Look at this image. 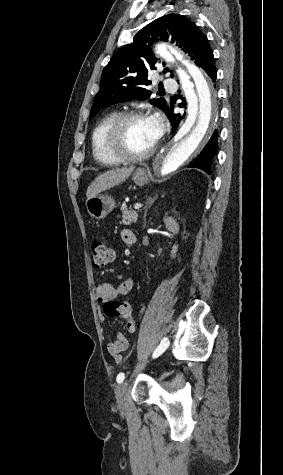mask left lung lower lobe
<instances>
[{"label":"left lung lower lobe","mask_w":283,"mask_h":475,"mask_svg":"<svg viewBox=\"0 0 283 475\" xmlns=\"http://www.w3.org/2000/svg\"><path fill=\"white\" fill-rule=\"evenodd\" d=\"M200 67H202L205 72L208 74V76L212 79V81L214 82L217 75H216V69H215V66H214V56H213V52L212 54L209 56V58L200 65ZM215 86V85H214ZM166 112V114L168 115L170 121L172 122L171 125L173 126L172 129L175 130L182 117L179 115V114H173V109H170L169 106L166 107V109L164 110ZM217 136H218V132L217 130L213 133L212 137L210 138L209 142L207 143V145L204 147V149L202 150V152L200 153V155L195 158L190 164L188 167H196V168H200L202 170H204L205 172L209 173L210 174V164H211V160L213 158V156L216 154L217 152Z\"/></svg>","instance_id":"1"}]
</instances>
